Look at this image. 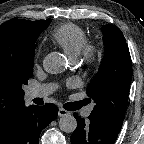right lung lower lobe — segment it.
<instances>
[{"label":"right lung lower lobe","instance_id":"98d812e1","mask_svg":"<svg viewBox=\"0 0 144 144\" xmlns=\"http://www.w3.org/2000/svg\"><path fill=\"white\" fill-rule=\"evenodd\" d=\"M58 108L45 106L23 107L7 128L0 133V144H39L41 131L57 116Z\"/></svg>","mask_w":144,"mask_h":144}]
</instances>
